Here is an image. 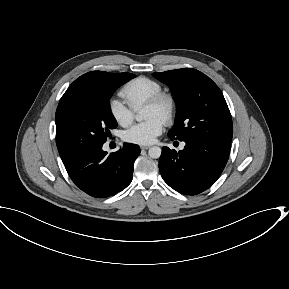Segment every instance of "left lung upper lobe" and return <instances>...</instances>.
Returning a JSON list of instances; mask_svg holds the SVG:
<instances>
[{
    "instance_id": "5c2ea615",
    "label": "left lung upper lobe",
    "mask_w": 289,
    "mask_h": 289,
    "mask_svg": "<svg viewBox=\"0 0 289 289\" xmlns=\"http://www.w3.org/2000/svg\"><path fill=\"white\" fill-rule=\"evenodd\" d=\"M154 76L170 86L175 96L177 110L170 138L231 142L229 108L221 90L208 76L192 68L155 72Z\"/></svg>"
}]
</instances>
